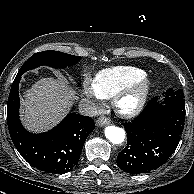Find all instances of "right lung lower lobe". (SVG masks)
<instances>
[{"mask_svg":"<svg viewBox=\"0 0 194 194\" xmlns=\"http://www.w3.org/2000/svg\"><path fill=\"white\" fill-rule=\"evenodd\" d=\"M18 72L10 90L7 122L11 139L21 156L39 170L62 174L78 163L84 142L94 130L92 118L70 113L55 128L43 134L24 129L19 120Z\"/></svg>","mask_w":194,"mask_h":194,"instance_id":"1","label":"right lung lower lobe"}]
</instances>
